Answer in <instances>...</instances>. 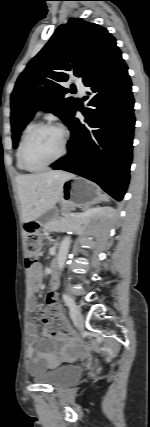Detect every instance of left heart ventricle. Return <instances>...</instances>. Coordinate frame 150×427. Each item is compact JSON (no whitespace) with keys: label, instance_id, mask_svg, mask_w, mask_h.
<instances>
[{"label":"left heart ventricle","instance_id":"left-heart-ventricle-1","mask_svg":"<svg viewBox=\"0 0 150 427\" xmlns=\"http://www.w3.org/2000/svg\"><path fill=\"white\" fill-rule=\"evenodd\" d=\"M62 149V134L54 129H42L30 139L25 153L29 167L37 168L59 155Z\"/></svg>","mask_w":150,"mask_h":427}]
</instances>
